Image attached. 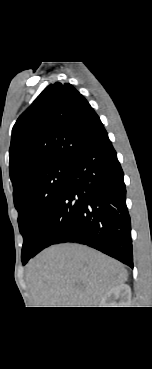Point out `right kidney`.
<instances>
[{
	"label": "right kidney",
	"instance_id": "1",
	"mask_svg": "<svg viewBox=\"0 0 152 369\" xmlns=\"http://www.w3.org/2000/svg\"><path fill=\"white\" fill-rule=\"evenodd\" d=\"M131 288L127 284H120L110 289L102 298L100 307H129Z\"/></svg>",
	"mask_w": 152,
	"mask_h": 369
}]
</instances>
